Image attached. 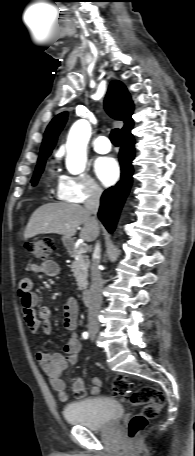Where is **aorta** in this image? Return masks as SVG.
I'll use <instances>...</instances> for the list:
<instances>
[{
	"label": "aorta",
	"instance_id": "aorta-1",
	"mask_svg": "<svg viewBox=\"0 0 195 456\" xmlns=\"http://www.w3.org/2000/svg\"><path fill=\"white\" fill-rule=\"evenodd\" d=\"M90 136L91 126L87 120H78L71 127L66 143V168L71 174L84 172L87 162L86 148Z\"/></svg>",
	"mask_w": 195,
	"mask_h": 456
}]
</instances>
